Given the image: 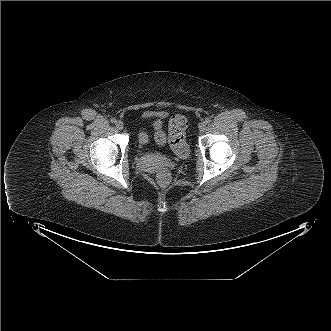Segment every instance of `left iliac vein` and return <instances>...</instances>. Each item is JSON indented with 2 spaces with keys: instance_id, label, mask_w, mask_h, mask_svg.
Here are the masks:
<instances>
[{
  "instance_id": "obj_1",
  "label": "left iliac vein",
  "mask_w": 331,
  "mask_h": 331,
  "mask_svg": "<svg viewBox=\"0 0 331 331\" xmlns=\"http://www.w3.org/2000/svg\"><path fill=\"white\" fill-rule=\"evenodd\" d=\"M205 129H206V123H205V122L200 123V124H199V130H200L201 132H204Z\"/></svg>"
}]
</instances>
